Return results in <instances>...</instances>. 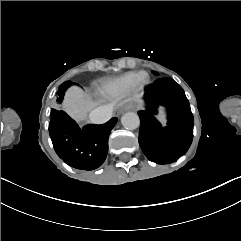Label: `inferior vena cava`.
<instances>
[{"label":"inferior vena cava","instance_id":"obj_1","mask_svg":"<svg viewBox=\"0 0 241 241\" xmlns=\"http://www.w3.org/2000/svg\"><path fill=\"white\" fill-rule=\"evenodd\" d=\"M113 112V105L107 104L99 106L93 109L89 114V119L91 123L103 124L111 119Z\"/></svg>","mask_w":241,"mask_h":241}]
</instances>
